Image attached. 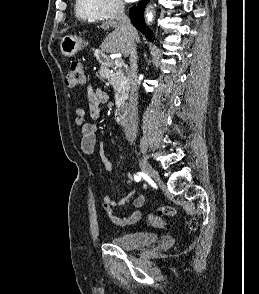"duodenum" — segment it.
<instances>
[{
  "label": "duodenum",
  "mask_w": 259,
  "mask_h": 294,
  "mask_svg": "<svg viewBox=\"0 0 259 294\" xmlns=\"http://www.w3.org/2000/svg\"><path fill=\"white\" fill-rule=\"evenodd\" d=\"M100 60L102 62H106V59L103 56H100ZM115 117L119 122L124 123L130 129H134L136 127V123L132 120L128 109L125 106H119L115 112Z\"/></svg>",
  "instance_id": "duodenum-1"
}]
</instances>
